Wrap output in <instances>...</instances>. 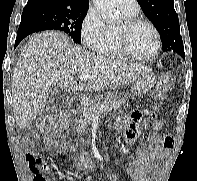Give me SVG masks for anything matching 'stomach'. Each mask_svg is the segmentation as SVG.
Returning <instances> with one entry per match:
<instances>
[{"mask_svg":"<svg viewBox=\"0 0 197 181\" xmlns=\"http://www.w3.org/2000/svg\"><path fill=\"white\" fill-rule=\"evenodd\" d=\"M155 75L151 71H145L133 81L131 90L133 95H143L147 93L154 85ZM117 97L113 94H108L107 99Z\"/></svg>","mask_w":197,"mask_h":181,"instance_id":"obj_1","label":"stomach"}]
</instances>
